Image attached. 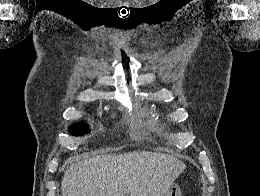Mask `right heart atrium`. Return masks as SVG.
<instances>
[{"label":"right heart atrium","mask_w":260,"mask_h":196,"mask_svg":"<svg viewBox=\"0 0 260 196\" xmlns=\"http://www.w3.org/2000/svg\"><path fill=\"white\" fill-rule=\"evenodd\" d=\"M140 191H142V192H147V190H140Z\"/></svg>","instance_id":"d8ad5b80"}]
</instances>
